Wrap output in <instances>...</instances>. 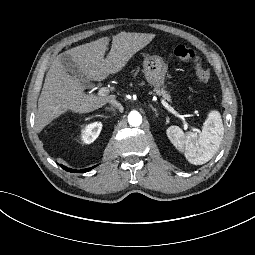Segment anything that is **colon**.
Wrapping results in <instances>:
<instances>
[{"label": "colon", "mask_w": 255, "mask_h": 255, "mask_svg": "<svg viewBox=\"0 0 255 255\" xmlns=\"http://www.w3.org/2000/svg\"><path fill=\"white\" fill-rule=\"evenodd\" d=\"M174 54L179 60L193 64L197 79L200 83L206 84L209 81V69L204 65L202 59L192 48L185 45H178L174 49Z\"/></svg>", "instance_id": "obj_1"}]
</instances>
